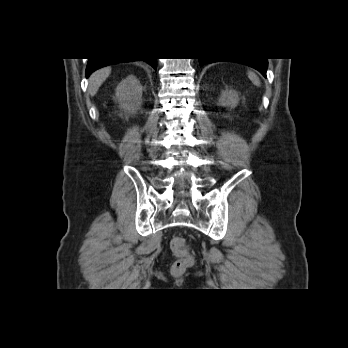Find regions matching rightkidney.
Returning a JSON list of instances; mask_svg holds the SVG:
<instances>
[{
	"instance_id": "1",
	"label": "right kidney",
	"mask_w": 348,
	"mask_h": 348,
	"mask_svg": "<svg viewBox=\"0 0 348 348\" xmlns=\"http://www.w3.org/2000/svg\"><path fill=\"white\" fill-rule=\"evenodd\" d=\"M143 88L140 81L134 76L129 75L123 79L116 88V98L120 108L124 111L135 112L142 105Z\"/></svg>"
}]
</instances>
